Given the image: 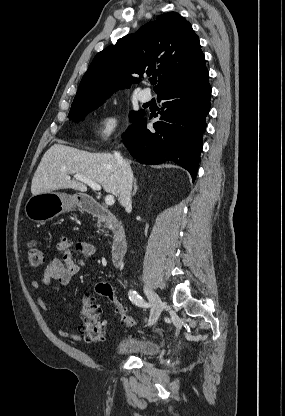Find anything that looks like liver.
Segmentation results:
<instances>
[{"mask_svg": "<svg viewBox=\"0 0 285 416\" xmlns=\"http://www.w3.org/2000/svg\"><path fill=\"white\" fill-rule=\"evenodd\" d=\"M69 174H80L97 182L107 194L119 196L121 170L113 154H90L70 146L54 144L45 152L33 178V196L53 190L87 192V186L78 180H69Z\"/></svg>", "mask_w": 285, "mask_h": 416, "instance_id": "liver-1", "label": "liver"}]
</instances>
